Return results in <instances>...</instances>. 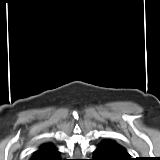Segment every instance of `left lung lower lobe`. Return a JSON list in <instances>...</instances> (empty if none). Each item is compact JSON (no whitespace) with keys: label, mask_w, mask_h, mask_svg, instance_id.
<instances>
[{"label":"left lung lower lobe","mask_w":160,"mask_h":160,"mask_svg":"<svg viewBox=\"0 0 160 160\" xmlns=\"http://www.w3.org/2000/svg\"><path fill=\"white\" fill-rule=\"evenodd\" d=\"M92 160H132L127 150L114 140L105 139L97 145Z\"/></svg>","instance_id":"1"}]
</instances>
